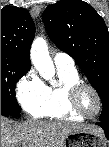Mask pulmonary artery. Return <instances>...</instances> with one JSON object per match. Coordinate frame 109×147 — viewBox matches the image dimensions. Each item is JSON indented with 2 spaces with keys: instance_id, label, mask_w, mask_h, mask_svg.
Masks as SVG:
<instances>
[{
  "instance_id": "1",
  "label": "pulmonary artery",
  "mask_w": 109,
  "mask_h": 147,
  "mask_svg": "<svg viewBox=\"0 0 109 147\" xmlns=\"http://www.w3.org/2000/svg\"><path fill=\"white\" fill-rule=\"evenodd\" d=\"M54 63L57 68H63V69H74L75 63L73 58L64 53V52H56L54 56Z\"/></svg>"
}]
</instances>
